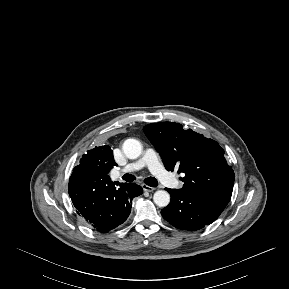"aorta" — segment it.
I'll return each instance as SVG.
<instances>
[{"label":"aorta","mask_w":289,"mask_h":289,"mask_svg":"<svg viewBox=\"0 0 289 289\" xmlns=\"http://www.w3.org/2000/svg\"><path fill=\"white\" fill-rule=\"evenodd\" d=\"M123 152L129 159H136L142 153V145L136 139H127L123 144ZM154 203L159 207H166L170 203V195L165 190H158L153 196Z\"/></svg>","instance_id":"obj_1"}]
</instances>
